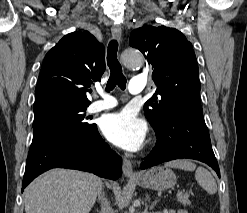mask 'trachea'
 <instances>
[{
	"mask_svg": "<svg viewBox=\"0 0 247 213\" xmlns=\"http://www.w3.org/2000/svg\"><path fill=\"white\" fill-rule=\"evenodd\" d=\"M118 43L116 40L110 41L107 51V65L110 69V77L106 85V91H112L117 85L122 90L126 88V78L122 73V68L117 59Z\"/></svg>",
	"mask_w": 247,
	"mask_h": 213,
	"instance_id": "trachea-1",
	"label": "trachea"
}]
</instances>
